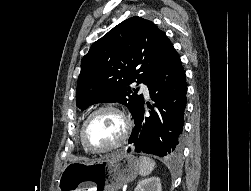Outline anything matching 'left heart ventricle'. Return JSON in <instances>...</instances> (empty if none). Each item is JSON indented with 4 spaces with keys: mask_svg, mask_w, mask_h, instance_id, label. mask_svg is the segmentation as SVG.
I'll use <instances>...</instances> for the list:
<instances>
[{
    "mask_svg": "<svg viewBox=\"0 0 251 191\" xmlns=\"http://www.w3.org/2000/svg\"><path fill=\"white\" fill-rule=\"evenodd\" d=\"M122 128V122L114 112H99L86 125L85 143L92 150H104L120 139Z\"/></svg>",
    "mask_w": 251,
    "mask_h": 191,
    "instance_id": "left-heart-ventricle-1",
    "label": "left heart ventricle"
}]
</instances>
